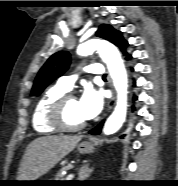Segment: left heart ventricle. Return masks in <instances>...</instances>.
<instances>
[{
	"label": "left heart ventricle",
	"instance_id": "1",
	"mask_svg": "<svg viewBox=\"0 0 178 186\" xmlns=\"http://www.w3.org/2000/svg\"><path fill=\"white\" fill-rule=\"evenodd\" d=\"M64 118L70 125H77L86 121L80 111L79 100L76 97L68 101L65 108Z\"/></svg>",
	"mask_w": 178,
	"mask_h": 186
}]
</instances>
